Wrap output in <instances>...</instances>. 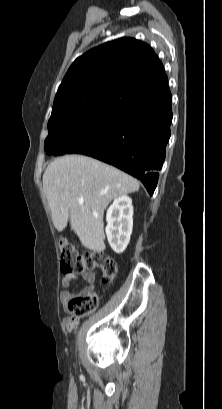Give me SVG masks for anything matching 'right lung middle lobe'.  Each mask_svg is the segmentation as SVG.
I'll use <instances>...</instances> for the list:
<instances>
[{"label":"right lung middle lobe","mask_w":222,"mask_h":409,"mask_svg":"<svg viewBox=\"0 0 222 409\" xmlns=\"http://www.w3.org/2000/svg\"><path fill=\"white\" fill-rule=\"evenodd\" d=\"M120 104L102 102L74 105L52 112L48 121L47 154H84L100 147Z\"/></svg>","instance_id":"right-lung-middle-lobe-1"}]
</instances>
